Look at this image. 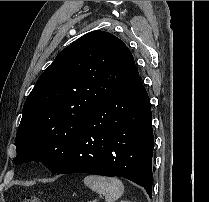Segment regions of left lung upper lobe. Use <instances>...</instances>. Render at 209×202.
<instances>
[{"label": "left lung upper lobe", "instance_id": "5c2ea615", "mask_svg": "<svg viewBox=\"0 0 209 202\" xmlns=\"http://www.w3.org/2000/svg\"><path fill=\"white\" fill-rule=\"evenodd\" d=\"M138 77L130 50L116 36L93 31L77 39L56 56L24 103L15 164L34 160L56 174L85 117Z\"/></svg>", "mask_w": 209, "mask_h": 202}]
</instances>
